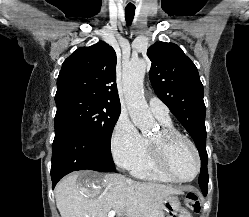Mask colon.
I'll list each match as a JSON object with an SVG mask.
<instances>
[{
    "mask_svg": "<svg viewBox=\"0 0 249 217\" xmlns=\"http://www.w3.org/2000/svg\"><path fill=\"white\" fill-rule=\"evenodd\" d=\"M185 204L193 212L200 211V207H201L200 199H199L198 194L194 191H190L186 194Z\"/></svg>",
    "mask_w": 249,
    "mask_h": 217,
    "instance_id": "colon-1",
    "label": "colon"
}]
</instances>
